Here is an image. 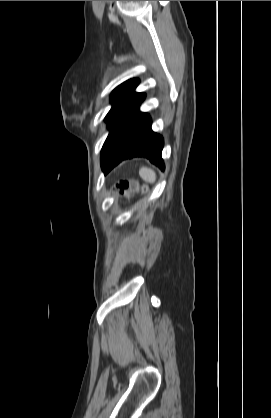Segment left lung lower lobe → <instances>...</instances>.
I'll list each match as a JSON object with an SVG mask.
<instances>
[{"mask_svg":"<svg viewBox=\"0 0 271 418\" xmlns=\"http://www.w3.org/2000/svg\"><path fill=\"white\" fill-rule=\"evenodd\" d=\"M140 104L107 137L101 150L104 173L121 161L133 157H146L164 170L161 157L163 138L151 130V119L148 114L139 111Z\"/></svg>","mask_w":271,"mask_h":418,"instance_id":"obj_1","label":"left lung lower lobe"}]
</instances>
